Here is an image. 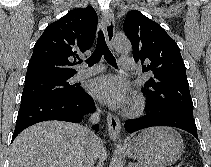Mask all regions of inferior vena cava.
I'll use <instances>...</instances> for the list:
<instances>
[{
    "instance_id": "602c4592",
    "label": "inferior vena cava",
    "mask_w": 211,
    "mask_h": 167,
    "mask_svg": "<svg viewBox=\"0 0 211 167\" xmlns=\"http://www.w3.org/2000/svg\"><path fill=\"white\" fill-rule=\"evenodd\" d=\"M99 113H96L90 117V123L96 124L99 121ZM89 131V129H87ZM90 132V131H89ZM91 138L93 141H97L98 138L91 133ZM96 156V150L93 148L91 150H88L85 154L84 160H83V167H93L94 164V158Z\"/></svg>"
}]
</instances>
